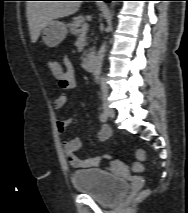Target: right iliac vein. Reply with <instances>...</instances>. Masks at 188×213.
<instances>
[{
    "label": "right iliac vein",
    "mask_w": 188,
    "mask_h": 213,
    "mask_svg": "<svg viewBox=\"0 0 188 213\" xmlns=\"http://www.w3.org/2000/svg\"><path fill=\"white\" fill-rule=\"evenodd\" d=\"M104 109H105V112H106L109 116H111V117H114V116H115L114 111H113L108 105H105Z\"/></svg>",
    "instance_id": "obj_1"
}]
</instances>
